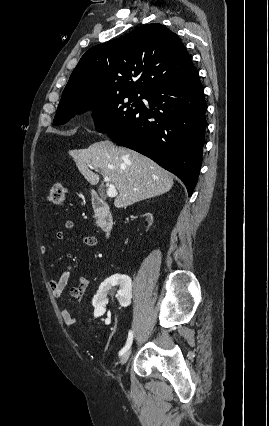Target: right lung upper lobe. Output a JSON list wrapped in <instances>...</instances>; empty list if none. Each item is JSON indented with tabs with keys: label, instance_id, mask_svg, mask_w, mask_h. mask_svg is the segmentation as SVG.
<instances>
[{
	"label": "right lung upper lobe",
	"instance_id": "1",
	"mask_svg": "<svg viewBox=\"0 0 269 426\" xmlns=\"http://www.w3.org/2000/svg\"><path fill=\"white\" fill-rule=\"evenodd\" d=\"M193 67L174 32L159 23L148 24L90 48L72 72L62 98L146 93Z\"/></svg>",
	"mask_w": 269,
	"mask_h": 426
}]
</instances>
